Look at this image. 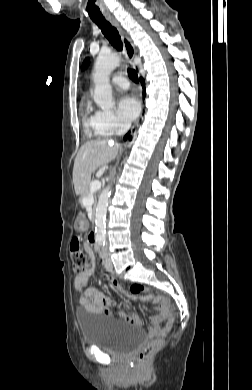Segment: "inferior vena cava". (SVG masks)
<instances>
[{"instance_id": "602c4592", "label": "inferior vena cava", "mask_w": 252, "mask_h": 390, "mask_svg": "<svg viewBox=\"0 0 252 390\" xmlns=\"http://www.w3.org/2000/svg\"><path fill=\"white\" fill-rule=\"evenodd\" d=\"M129 128H130V124H128V123H124V124H122L121 126H120V128H119V130L117 131V135H123V134H125L128 130H129ZM116 146L118 147L119 145L118 144H116Z\"/></svg>"}]
</instances>
